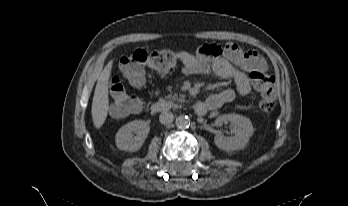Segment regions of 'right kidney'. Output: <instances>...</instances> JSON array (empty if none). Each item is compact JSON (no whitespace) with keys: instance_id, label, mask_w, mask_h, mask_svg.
Instances as JSON below:
<instances>
[{"instance_id":"obj_1","label":"right kidney","mask_w":348,"mask_h":206,"mask_svg":"<svg viewBox=\"0 0 348 206\" xmlns=\"http://www.w3.org/2000/svg\"><path fill=\"white\" fill-rule=\"evenodd\" d=\"M149 131L150 126L146 121H131L123 125L116 133V146L119 150L138 151L145 142Z\"/></svg>"}]
</instances>
